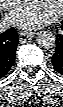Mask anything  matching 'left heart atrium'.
Masks as SVG:
<instances>
[{
  "label": "left heart atrium",
  "instance_id": "39dd6f15",
  "mask_svg": "<svg viewBox=\"0 0 63 107\" xmlns=\"http://www.w3.org/2000/svg\"><path fill=\"white\" fill-rule=\"evenodd\" d=\"M51 14L33 4L19 7L10 16V22L25 29H33L47 23Z\"/></svg>",
  "mask_w": 63,
  "mask_h": 107
}]
</instances>
